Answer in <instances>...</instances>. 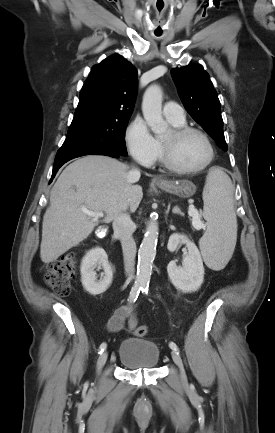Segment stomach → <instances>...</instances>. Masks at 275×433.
<instances>
[{
    "label": "stomach",
    "instance_id": "1",
    "mask_svg": "<svg viewBox=\"0 0 275 433\" xmlns=\"http://www.w3.org/2000/svg\"><path fill=\"white\" fill-rule=\"evenodd\" d=\"M158 188L181 198H190L196 193V186L188 180L157 184Z\"/></svg>",
    "mask_w": 275,
    "mask_h": 433
}]
</instances>
